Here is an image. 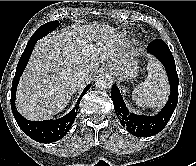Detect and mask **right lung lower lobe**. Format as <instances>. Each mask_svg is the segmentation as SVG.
<instances>
[{
	"label": "right lung lower lobe",
	"instance_id": "obj_1",
	"mask_svg": "<svg viewBox=\"0 0 196 166\" xmlns=\"http://www.w3.org/2000/svg\"><path fill=\"white\" fill-rule=\"evenodd\" d=\"M36 42L37 40L30 39L17 65L16 73L12 82L11 109L16 119V122L25 134H27L29 137H31L37 142L50 143L62 139L67 134L77 116L81 97H83L85 93L89 90L91 84L87 85L84 88V91L79 97L76 106L62 118L56 120H44L39 122L25 119L22 115L18 113L15 107L16 89L19 78L21 77L27 65L28 59L30 58V55Z\"/></svg>",
	"mask_w": 196,
	"mask_h": 166
}]
</instances>
